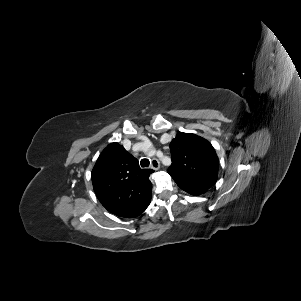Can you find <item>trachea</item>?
I'll use <instances>...</instances> for the list:
<instances>
[{"label": "trachea", "instance_id": "3493384b", "mask_svg": "<svg viewBox=\"0 0 301 301\" xmlns=\"http://www.w3.org/2000/svg\"><path fill=\"white\" fill-rule=\"evenodd\" d=\"M141 167H148L150 165V161L146 158L140 161Z\"/></svg>", "mask_w": 301, "mask_h": 301}]
</instances>
